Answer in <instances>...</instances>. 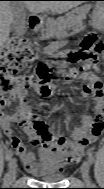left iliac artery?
Instances as JSON below:
<instances>
[{
  "label": "left iliac artery",
  "instance_id": "44dca946",
  "mask_svg": "<svg viewBox=\"0 0 104 189\" xmlns=\"http://www.w3.org/2000/svg\"><path fill=\"white\" fill-rule=\"evenodd\" d=\"M88 161L90 164H93V162H94V156L91 152L88 154Z\"/></svg>",
  "mask_w": 104,
  "mask_h": 189
}]
</instances>
